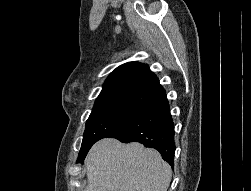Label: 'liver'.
Instances as JSON below:
<instances>
[{
  "label": "liver",
  "mask_w": 251,
  "mask_h": 191,
  "mask_svg": "<svg viewBox=\"0 0 251 191\" xmlns=\"http://www.w3.org/2000/svg\"><path fill=\"white\" fill-rule=\"evenodd\" d=\"M85 191H167L172 169L153 147L113 137L96 141L85 159Z\"/></svg>",
  "instance_id": "1"
}]
</instances>
